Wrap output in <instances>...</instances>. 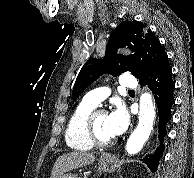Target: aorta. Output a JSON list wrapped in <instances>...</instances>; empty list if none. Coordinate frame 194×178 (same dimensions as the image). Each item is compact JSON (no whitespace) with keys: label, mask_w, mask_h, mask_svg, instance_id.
I'll list each match as a JSON object with an SVG mask.
<instances>
[{"label":"aorta","mask_w":194,"mask_h":178,"mask_svg":"<svg viewBox=\"0 0 194 178\" xmlns=\"http://www.w3.org/2000/svg\"><path fill=\"white\" fill-rule=\"evenodd\" d=\"M155 120V106L150 93L144 92L140 96L139 122L127 140L128 154L138 153L148 140Z\"/></svg>","instance_id":"aorta-1"}]
</instances>
